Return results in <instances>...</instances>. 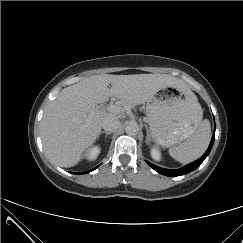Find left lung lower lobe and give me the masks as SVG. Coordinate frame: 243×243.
I'll return each instance as SVG.
<instances>
[{"mask_svg":"<svg viewBox=\"0 0 243 243\" xmlns=\"http://www.w3.org/2000/svg\"><path fill=\"white\" fill-rule=\"evenodd\" d=\"M214 139H215V130H214V134L212 136V139H211V142H210V145L207 149V151L205 152V154L199 158L198 160L180 168V169H177V170H170V169H164V168H161V167H158L148 161L147 164L149 166H151L155 171H157L158 173L160 174H163V175H166V176H180V175H185L193 170H195L203 161L204 159L208 156V154L210 153V150L213 146V143H214Z\"/></svg>","mask_w":243,"mask_h":243,"instance_id":"obj_1","label":"left lung lower lobe"}]
</instances>
